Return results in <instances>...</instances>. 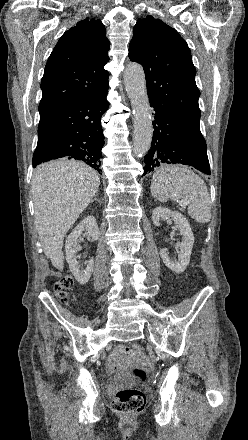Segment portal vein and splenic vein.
I'll return each instance as SVG.
<instances>
[{
    "instance_id": "obj_1",
    "label": "portal vein and splenic vein",
    "mask_w": 248,
    "mask_h": 440,
    "mask_svg": "<svg viewBox=\"0 0 248 440\" xmlns=\"http://www.w3.org/2000/svg\"><path fill=\"white\" fill-rule=\"evenodd\" d=\"M184 205H186V203H181V206H184Z\"/></svg>"
}]
</instances>
